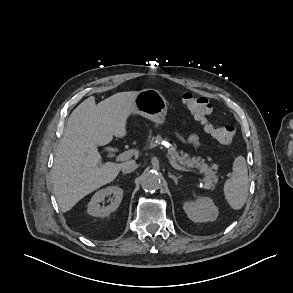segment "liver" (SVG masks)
Listing matches in <instances>:
<instances>
[{
	"label": "liver",
	"instance_id": "obj_1",
	"mask_svg": "<svg viewBox=\"0 0 293 293\" xmlns=\"http://www.w3.org/2000/svg\"><path fill=\"white\" fill-rule=\"evenodd\" d=\"M137 92L116 93L100 103L89 97L68 118L51 170L54 195L62 212L118 175L122 164L101 163L98 146L127 135Z\"/></svg>",
	"mask_w": 293,
	"mask_h": 293
}]
</instances>
